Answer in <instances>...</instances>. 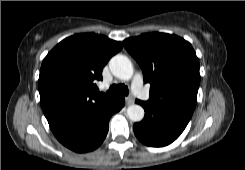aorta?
I'll return each mask as SVG.
<instances>
[{
	"mask_svg": "<svg viewBox=\"0 0 245 170\" xmlns=\"http://www.w3.org/2000/svg\"><path fill=\"white\" fill-rule=\"evenodd\" d=\"M109 68L112 74L121 79L129 80L133 76V65L128 57L124 55H115L109 62ZM127 116L133 122H139L144 118V109L142 106L133 104L127 108Z\"/></svg>",
	"mask_w": 245,
	"mask_h": 170,
	"instance_id": "aorta-1",
	"label": "aorta"
}]
</instances>
